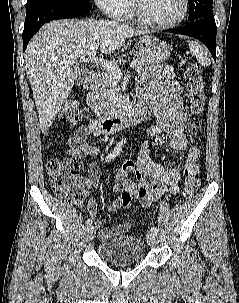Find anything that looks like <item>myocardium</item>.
I'll return each mask as SVG.
<instances>
[{
	"label": "myocardium",
	"mask_w": 239,
	"mask_h": 303,
	"mask_svg": "<svg viewBox=\"0 0 239 303\" xmlns=\"http://www.w3.org/2000/svg\"><path fill=\"white\" fill-rule=\"evenodd\" d=\"M130 3H131L132 14L137 19V21L140 22L142 25L153 29L173 28L179 25L180 23H182L186 19L189 13V0H182L183 10L182 13L179 15V17L167 23H156L146 18L138 3V0H130Z\"/></svg>",
	"instance_id": "1"
}]
</instances>
